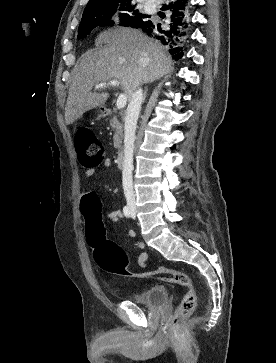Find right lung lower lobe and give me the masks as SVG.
Segmentation results:
<instances>
[{
	"label": "right lung lower lobe",
	"instance_id": "1",
	"mask_svg": "<svg viewBox=\"0 0 276 363\" xmlns=\"http://www.w3.org/2000/svg\"><path fill=\"white\" fill-rule=\"evenodd\" d=\"M169 15L163 25L146 21L140 27L149 36L158 39L169 48L175 59L182 57L185 42L190 31L189 0H169L166 5Z\"/></svg>",
	"mask_w": 276,
	"mask_h": 363
}]
</instances>
